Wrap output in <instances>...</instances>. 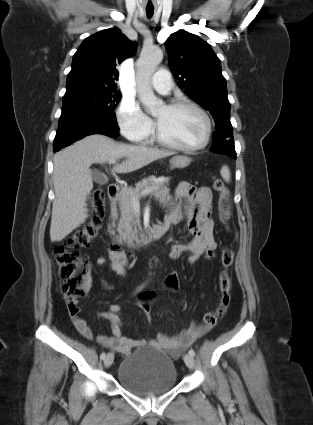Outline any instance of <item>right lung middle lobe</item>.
<instances>
[{
    "instance_id": "1",
    "label": "right lung middle lobe",
    "mask_w": 313,
    "mask_h": 425,
    "mask_svg": "<svg viewBox=\"0 0 313 425\" xmlns=\"http://www.w3.org/2000/svg\"><path fill=\"white\" fill-rule=\"evenodd\" d=\"M121 99L115 89L79 90L65 93L63 107L78 106L115 115L114 108Z\"/></svg>"
}]
</instances>
